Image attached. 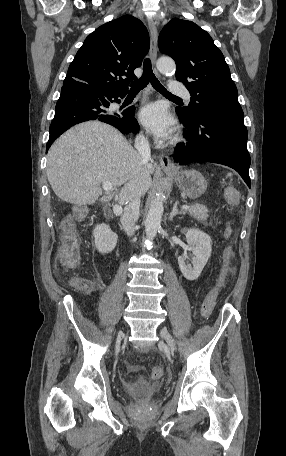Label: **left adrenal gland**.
<instances>
[{
    "mask_svg": "<svg viewBox=\"0 0 286 456\" xmlns=\"http://www.w3.org/2000/svg\"><path fill=\"white\" fill-rule=\"evenodd\" d=\"M177 205H178V201L175 202L174 206H173V209L170 213V216H169V220L170 221H173V218L176 216V215H183L184 212L183 211H179L177 209Z\"/></svg>",
    "mask_w": 286,
    "mask_h": 456,
    "instance_id": "a2214340",
    "label": "left adrenal gland"
}]
</instances>
